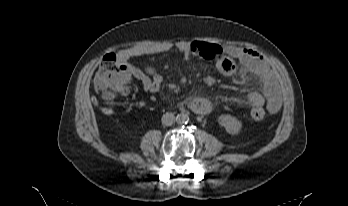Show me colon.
Here are the masks:
<instances>
[{
  "instance_id": "5ec220e1",
  "label": "colon",
  "mask_w": 348,
  "mask_h": 206,
  "mask_svg": "<svg viewBox=\"0 0 348 206\" xmlns=\"http://www.w3.org/2000/svg\"><path fill=\"white\" fill-rule=\"evenodd\" d=\"M132 74L126 63L115 53L106 54L97 71L94 84L97 91L108 103L106 112L113 113L112 103L116 96L126 92L131 84ZM266 116L261 106H254L251 110V117L255 121H262Z\"/></svg>"
}]
</instances>
